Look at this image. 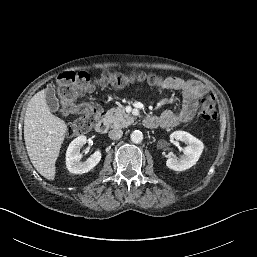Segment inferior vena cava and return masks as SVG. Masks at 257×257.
<instances>
[{
  "mask_svg": "<svg viewBox=\"0 0 257 257\" xmlns=\"http://www.w3.org/2000/svg\"><path fill=\"white\" fill-rule=\"evenodd\" d=\"M122 135H123V131L121 129H113V130H110L108 133V136L113 140L120 139Z\"/></svg>",
  "mask_w": 257,
  "mask_h": 257,
  "instance_id": "602c4592",
  "label": "inferior vena cava"
}]
</instances>
